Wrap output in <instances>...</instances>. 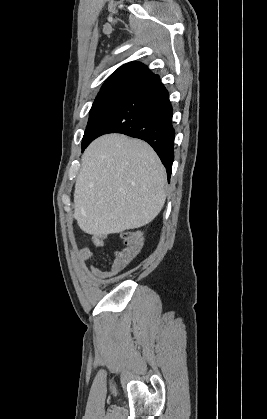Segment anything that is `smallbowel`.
Wrapping results in <instances>:
<instances>
[{
  "instance_id": "c3829d8e",
  "label": "small bowel",
  "mask_w": 267,
  "mask_h": 419,
  "mask_svg": "<svg viewBox=\"0 0 267 419\" xmlns=\"http://www.w3.org/2000/svg\"><path fill=\"white\" fill-rule=\"evenodd\" d=\"M107 236L103 234L94 235L93 236V243L97 247H103L106 243ZM80 261L83 265H85L89 261H93L95 259L94 252L90 248H82L79 252ZM119 268L117 267L115 261L113 260L109 270H102L98 267L92 266L91 273L99 278H107L115 275L119 272Z\"/></svg>"
}]
</instances>
